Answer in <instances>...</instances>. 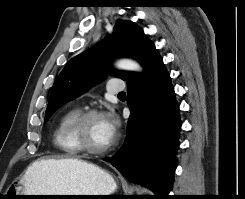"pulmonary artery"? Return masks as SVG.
<instances>
[{
	"instance_id": "e3ab8cb5",
	"label": "pulmonary artery",
	"mask_w": 245,
	"mask_h": 199,
	"mask_svg": "<svg viewBox=\"0 0 245 199\" xmlns=\"http://www.w3.org/2000/svg\"><path fill=\"white\" fill-rule=\"evenodd\" d=\"M125 84L121 80H110L107 84V92L109 94H118L123 92Z\"/></svg>"
}]
</instances>
